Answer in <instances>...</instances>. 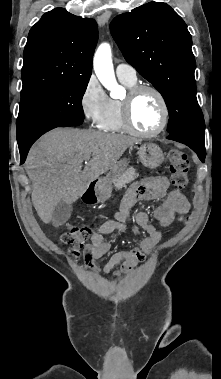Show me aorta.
Instances as JSON below:
<instances>
[{
    "label": "aorta",
    "mask_w": 221,
    "mask_h": 379,
    "mask_svg": "<svg viewBox=\"0 0 221 379\" xmlns=\"http://www.w3.org/2000/svg\"><path fill=\"white\" fill-rule=\"evenodd\" d=\"M94 71L102 85L110 91L112 98L119 97L123 88L118 85L112 63L111 47L107 43L101 44L94 56Z\"/></svg>",
    "instance_id": "aorta-1"
}]
</instances>
